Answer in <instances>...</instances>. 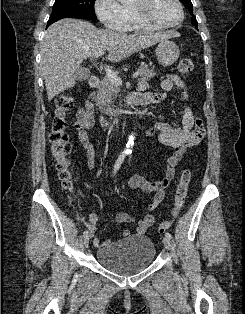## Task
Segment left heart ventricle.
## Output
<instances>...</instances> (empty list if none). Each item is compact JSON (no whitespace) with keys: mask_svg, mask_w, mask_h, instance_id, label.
I'll use <instances>...</instances> for the list:
<instances>
[{"mask_svg":"<svg viewBox=\"0 0 245 314\" xmlns=\"http://www.w3.org/2000/svg\"><path fill=\"white\" fill-rule=\"evenodd\" d=\"M140 0H135L133 6L139 7ZM150 16L160 23H176L181 18V12L174 0H152L149 7Z\"/></svg>","mask_w":245,"mask_h":314,"instance_id":"obj_1","label":"left heart ventricle"}]
</instances>
